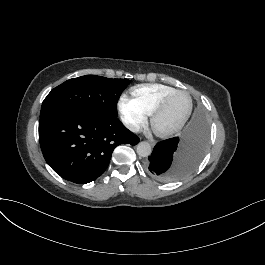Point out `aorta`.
<instances>
[{
    "label": "aorta",
    "instance_id": "obj_1",
    "mask_svg": "<svg viewBox=\"0 0 265 265\" xmlns=\"http://www.w3.org/2000/svg\"><path fill=\"white\" fill-rule=\"evenodd\" d=\"M137 154L141 157H147L151 154V145L148 142H140L137 145Z\"/></svg>",
    "mask_w": 265,
    "mask_h": 265
}]
</instances>
